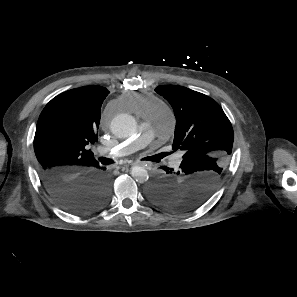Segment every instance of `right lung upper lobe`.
<instances>
[{
    "mask_svg": "<svg viewBox=\"0 0 297 297\" xmlns=\"http://www.w3.org/2000/svg\"><path fill=\"white\" fill-rule=\"evenodd\" d=\"M108 93L101 86H84L59 94L45 106L34 137L40 170L77 174L99 166L85 146L98 139L100 109Z\"/></svg>",
    "mask_w": 297,
    "mask_h": 297,
    "instance_id": "cb5924a9",
    "label": "right lung upper lobe"
}]
</instances>
